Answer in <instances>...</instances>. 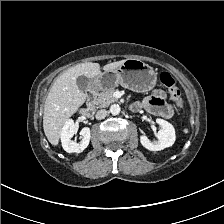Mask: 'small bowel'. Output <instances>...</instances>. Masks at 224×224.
Returning a JSON list of instances; mask_svg holds the SVG:
<instances>
[{"label":"small bowel","instance_id":"c3829d8e","mask_svg":"<svg viewBox=\"0 0 224 224\" xmlns=\"http://www.w3.org/2000/svg\"><path fill=\"white\" fill-rule=\"evenodd\" d=\"M142 106L149 112L164 118L172 116V108L165 102V94L161 90H157L153 95L143 100Z\"/></svg>","mask_w":224,"mask_h":224}]
</instances>
